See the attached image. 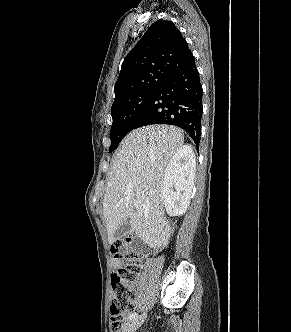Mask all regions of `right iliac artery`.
Segmentation results:
<instances>
[{"label": "right iliac artery", "instance_id": "right-iliac-artery-1", "mask_svg": "<svg viewBox=\"0 0 291 332\" xmlns=\"http://www.w3.org/2000/svg\"><path fill=\"white\" fill-rule=\"evenodd\" d=\"M137 316V313H132L129 315L128 319L132 320Z\"/></svg>", "mask_w": 291, "mask_h": 332}]
</instances>
